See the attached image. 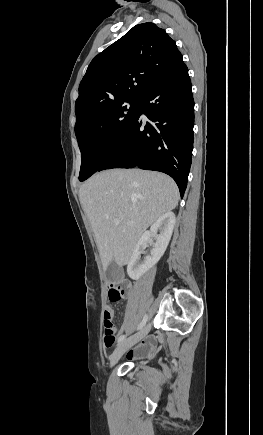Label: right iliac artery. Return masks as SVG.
I'll return each instance as SVG.
<instances>
[{
	"instance_id": "obj_1",
	"label": "right iliac artery",
	"mask_w": 263,
	"mask_h": 435,
	"mask_svg": "<svg viewBox=\"0 0 263 435\" xmlns=\"http://www.w3.org/2000/svg\"><path fill=\"white\" fill-rule=\"evenodd\" d=\"M147 319H148V316L145 315L144 318H143V320H142V322L138 325L137 330H140V329L143 328V326H144V325L146 324V322H147ZM125 338H126V335H121V336L118 338V343H121L122 341H124Z\"/></svg>"
}]
</instances>
